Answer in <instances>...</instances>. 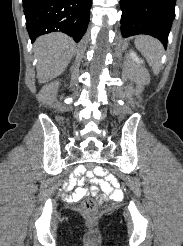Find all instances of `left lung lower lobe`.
<instances>
[{"label":"left lung lower lobe","instance_id":"left-lung-lower-lobe-1","mask_svg":"<svg viewBox=\"0 0 183 246\" xmlns=\"http://www.w3.org/2000/svg\"><path fill=\"white\" fill-rule=\"evenodd\" d=\"M176 0H120L123 37L151 35L167 46Z\"/></svg>","mask_w":183,"mask_h":246}]
</instances>
